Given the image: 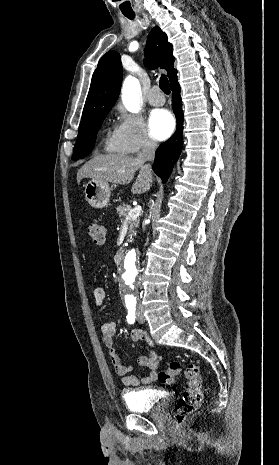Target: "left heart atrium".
<instances>
[{
  "instance_id": "1",
  "label": "left heart atrium",
  "mask_w": 279,
  "mask_h": 465,
  "mask_svg": "<svg viewBox=\"0 0 279 465\" xmlns=\"http://www.w3.org/2000/svg\"><path fill=\"white\" fill-rule=\"evenodd\" d=\"M175 120L165 109L154 110L149 117V129L154 138L164 140L174 131Z\"/></svg>"
}]
</instances>
